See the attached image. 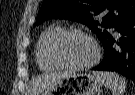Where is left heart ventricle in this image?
I'll return each mask as SVG.
<instances>
[{"label":"left heart ventricle","mask_w":135,"mask_h":95,"mask_svg":"<svg viewBox=\"0 0 135 95\" xmlns=\"http://www.w3.org/2000/svg\"><path fill=\"white\" fill-rule=\"evenodd\" d=\"M58 54L68 64L81 65L93 58L94 49L88 39L81 36H70L61 42Z\"/></svg>","instance_id":"1"}]
</instances>
